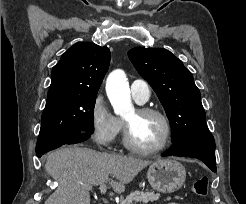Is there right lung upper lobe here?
Wrapping results in <instances>:
<instances>
[{
  "label": "right lung upper lobe",
  "mask_w": 246,
  "mask_h": 204,
  "mask_svg": "<svg viewBox=\"0 0 246 204\" xmlns=\"http://www.w3.org/2000/svg\"><path fill=\"white\" fill-rule=\"evenodd\" d=\"M109 62L110 51L106 46L76 43L53 67L47 101L70 95H97Z\"/></svg>",
  "instance_id": "cb5924a9"
}]
</instances>
